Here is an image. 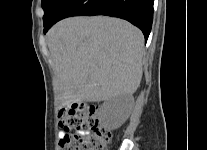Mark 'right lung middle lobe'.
Here are the masks:
<instances>
[{
    "label": "right lung middle lobe",
    "instance_id": "dd1d6c3e",
    "mask_svg": "<svg viewBox=\"0 0 207 150\" xmlns=\"http://www.w3.org/2000/svg\"><path fill=\"white\" fill-rule=\"evenodd\" d=\"M64 2V0H42L41 5L44 10L43 21L44 23L50 21L57 9Z\"/></svg>",
    "mask_w": 207,
    "mask_h": 150
}]
</instances>
